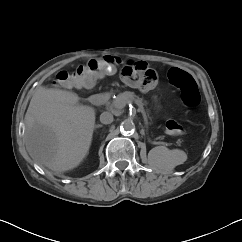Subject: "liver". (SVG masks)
<instances>
[{"label":"liver","instance_id":"liver-1","mask_svg":"<svg viewBox=\"0 0 242 242\" xmlns=\"http://www.w3.org/2000/svg\"><path fill=\"white\" fill-rule=\"evenodd\" d=\"M96 112L77 94L35 89L25 114V145L31 158L56 173L76 168L88 154Z\"/></svg>","mask_w":242,"mask_h":242}]
</instances>
